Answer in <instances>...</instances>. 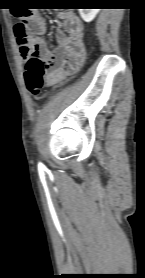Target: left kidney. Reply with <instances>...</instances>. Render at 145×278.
I'll list each match as a JSON object with an SVG mask.
<instances>
[{"label":"left kidney","mask_w":145,"mask_h":278,"mask_svg":"<svg viewBox=\"0 0 145 278\" xmlns=\"http://www.w3.org/2000/svg\"><path fill=\"white\" fill-rule=\"evenodd\" d=\"M99 11L100 9H79V13L85 22H91Z\"/></svg>","instance_id":"obj_1"}]
</instances>
